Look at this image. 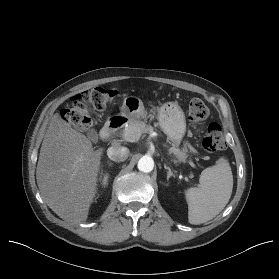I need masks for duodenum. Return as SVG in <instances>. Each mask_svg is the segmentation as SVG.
I'll use <instances>...</instances> for the list:
<instances>
[{"label": "duodenum", "mask_w": 279, "mask_h": 279, "mask_svg": "<svg viewBox=\"0 0 279 279\" xmlns=\"http://www.w3.org/2000/svg\"><path fill=\"white\" fill-rule=\"evenodd\" d=\"M123 124L122 118L115 117L107 122L100 131V138L108 139L111 137Z\"/></svg>", "instance_id": "1"}]
</instances>
